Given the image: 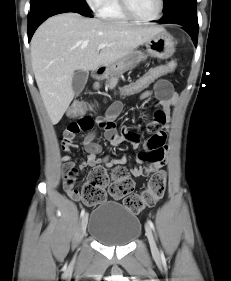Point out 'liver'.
Listing matches in <instances>:
<instances>
[{"mask_svg": "<svg viewBox=\"0 0 231 281\" xmlns=\"http://www.w3.org/2000/svg\"><path fill=\"white\" fill-rule=\"evenodd\" d=\"M162 31V27L107 22L72 12L47 19L32 38L31 61L52 124L61 120L74 98L76 70L109 66ZM100 44L107 46L98 50Z\"/></svg>", "mask_w": 231, "mask_h": 281, "instance_id": "1", "label": "liver"}]
</instances>
